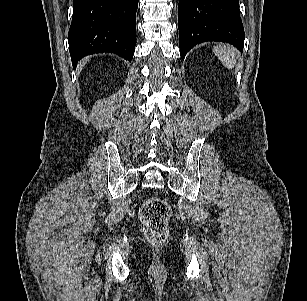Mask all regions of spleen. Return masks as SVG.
Wrapping results in <instances>:
<instances>
[{
	"label": "spleen",
	"instance_id": "1",
	"mask_svg": "<svg viewBox=\"0 0 307 301\" xmlns=\"http://www.w3.org/2000/svg\"><path fill=\"white\" fill-rule=\"evenodd\" d=\"M214 54L218 57L224 67L232 69L236 63L235 52L227 45L214 46Z\"/></svg>",
	"mask_w": 307,
	"mask_h": 301
}]
</instances>
